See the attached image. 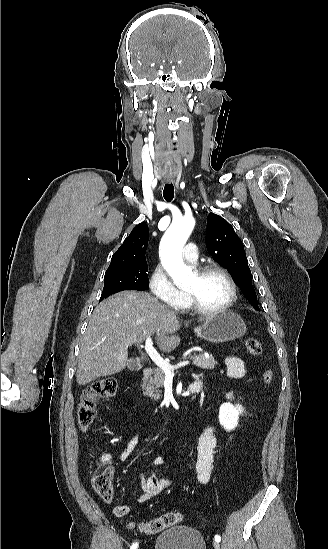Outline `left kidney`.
Segmentation results:
<instances>
[{
	"instance_id": "obj_1",
	"label": "left kidney",
	"mask_w": 328,
	"mask_h": 549,
	"mask_svg": "<svg viewBox=\"0 0 328 549\" xmlns=\"http://www.w3.org/2000/svg\"><path fill=\"white\" fill-rule=\"evenodd\" d=\"M232 393H228L227 399H231ZM240 413H243L241 405H231V403H223L219 409L220 425L226 431H232L238 425Z\"/></svg>"
}]
</instances>
